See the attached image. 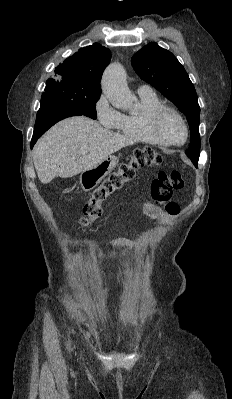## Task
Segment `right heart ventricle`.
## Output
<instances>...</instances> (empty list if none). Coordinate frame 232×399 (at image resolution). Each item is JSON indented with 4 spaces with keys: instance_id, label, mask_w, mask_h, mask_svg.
Instances as JSON below:
<instances>
[{
    "instance_id": "1",
    "label": "right heart ventricle",
    "mask_w": 232,
    "mask_h": 399,
    "mask_svg": "<svg viewBox=\"0 0 232 399\" xmlns=\"http://www.w3.org/2000/svg\"><path fill=\"white\" fill-rule=\"evenodd\" d=\"M140 111L137 114L121 115L115 127L117 132L132 143H141L148 146L166 149L167 143L156 137L150 127V118L159 108L165 106L164 102L155 94H141Z\"/></svg>"
}]
</instances>
